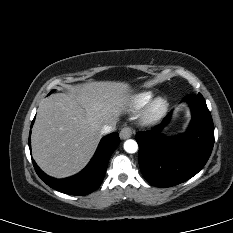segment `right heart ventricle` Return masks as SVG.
<instances>
[{
  "mask_svg": "<svg viewBox=\"0 0 233 233\" xmlns=\"http://www.w3.org/2000/svg\"><path fill=\"white\" fill-rule=\"evenodd\" d=\"M154 97V93L151 91H142L132 95L128 102V108L131 111H137L144 108Z\"/></svg>",
  "mask_w": 233,
  "mask_h": 233,
  "instance_id": "obj_1",
  "label": "right heart ventricle"
}]
</instances>
